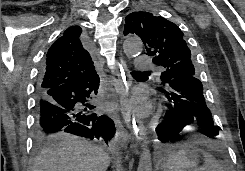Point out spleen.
<instances>
[{
	"label": "spleen",
	"mask_w": 245,
	"mask_h": 171,
	"mask_svg": "<svg viewBox=\"0 0 245 171\" xmlns=\"http://www.w3.org/2000/svg\"><path fill=\"white\" fill-rule=\"evenodd\" d=\"M204 165L196 171H224L221 164L210 154H204Z\"/></svg>",
	"instance_id": "3e777b00"
}]
</instances>
